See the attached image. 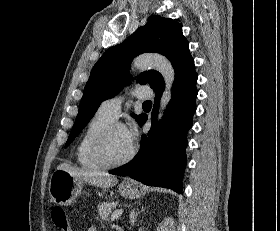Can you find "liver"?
Here are the masks:
<instances>
[{"mask_svg":"<svg viewBox=\"0 0 280 231\" xmlns=\"http://www.w3.org/2000/svg\"><path fill=\"white\" fill-rule=\"evenodd\" d=\"M57 169H64V171H68L72 177L83 179V181H87L90 185H97V187H112V185H115L118 181L115 175H105V173H100V171L78 169V167H71L69 163H60Z\"/></svg>","mask_w":280,"mask_h":231,"instance_id":"6515ba94","label":"liver"}]
</instances>
